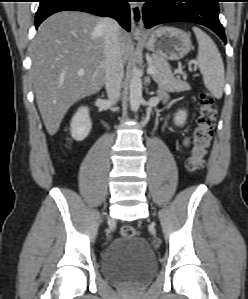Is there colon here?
<instances>
[{"mask_svg": "<svg viewBox=\"0 0 248 299\" xmlns=\"http://www.w3.org/2000/svg\"><path fill=\"white\" fill-rule=\"evenodd\" d=\"M199 99L200 107L193 132L192 148L186 160V169L190 173H196L203 168L204 157L212 137L217 115L216 101L211 93L203 91ZM120 233L123 237H135L137 235L136 229L130 225L122 226Z\"/></svg>", "mask_w": 248, "mask_h": 299, "instance_id": "5ec220e1", "label": "colon"}]
</instances>
